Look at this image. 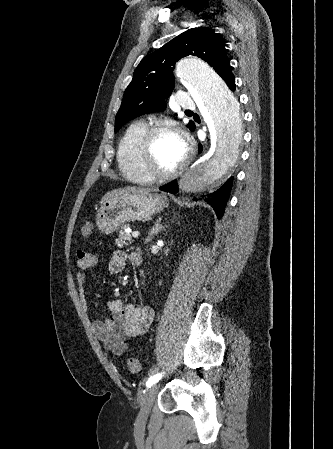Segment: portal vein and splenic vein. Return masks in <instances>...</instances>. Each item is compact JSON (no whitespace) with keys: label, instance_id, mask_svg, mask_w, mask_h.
Here are the masks:
<instances>
[{"label":"portal vein and splenic vein","instance_id":"18ae733b","mask_svg":"<svg viewBox=\"0 0 333 449\" xmlns=\"http://www.w3.org/2000/svg\"><path fill=\"white\" fill-rule=\"evenodd\" d=\"M139 235H140V233H139L138 231H134V232L132 233V236H133L134 238H138Z\"/></svg>","mask_w":333,"mask_h":449}]
</instances>
